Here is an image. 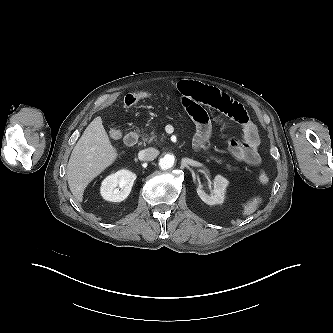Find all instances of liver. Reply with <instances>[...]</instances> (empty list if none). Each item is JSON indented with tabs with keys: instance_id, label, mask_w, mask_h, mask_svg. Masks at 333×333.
<instances>
[{
	"instance_id": "liver-1",
	"label": "liver",
	"mask_w": 333,
	"mask_h": 333,
	"mask_svg": "<svg viewBox=\"0 0 333 333\" xmlns=\"http://www.w3.org/2000/svg\"><path fill=\"white\" fill-rule=\"evenodd\" d=\"M117 156L101 117L94 118L74 146L67 165L68 185L78 202L83 201L88 184L113 164Z\"/></svg>"
}]
</instances>
